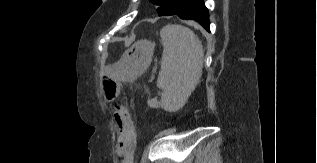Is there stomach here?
Returning <instances> with one entry per match:
<instances>
[{
	"label": "stomach",
	"instance_id": "1",
	"mask_svg": "<svg viewBox=\"0 0 317 163\" xmlns=\"http://www.w3.org/2000/svg\"><path fill=\"white\" fill-rule=\"evenodd\" d=\"M153 51V43L140 40L127 49L116 64L105 67L104 74L113 78L132 80L148 68L152 61Z\"/></svg>",
	"mask_w": 317,
	"mask_h": 163
}]
</instances>
